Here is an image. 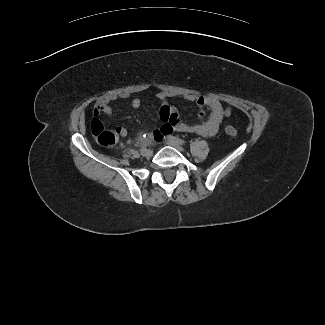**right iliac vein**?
<instances>
[{
	"mask_svg": "<svg viewBox=\"0 0 325 325\" xmlns=\"http://www.w3.org/2000/svg\"><path fill=\"white\" fill-rule=\"evenodd\" d=\"M143 156H145L146 158H150L152 157L153 155V151L150 150V149H146L143 153H142Z\"/></svg>",
	"mask_w": 325,
	"mask_h": 325,
	"instance_id": "1",
	"label": "right iliac vein"
}]
</instances>
